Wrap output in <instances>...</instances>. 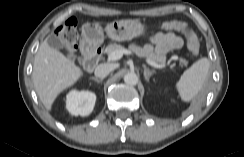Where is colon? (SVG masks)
<instances>
[{"label":"colon","instance_id":"obj_1","mask_svg":"<svg viewBox=\"0 0 244 157\" xmlns=\"http://www.w3.org/2000/svg\"><path fill=\"white\" fill-rule=\"evenodd\" d=\"M164 30H174L184 35L188 49L193 56H198L200 51V43L197 36L180 21H167L161 24ZM58 37L62 41L67 57L74 61L77 43V29L74 20H68L63 26L58 29Z\"/></svg>","mask_w":244,"mask_h":157}]
</instances>
